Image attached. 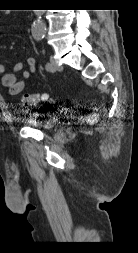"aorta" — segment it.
<instances>
[{"mask_svg": "<svg viewBox=\"0 0 138 253\" xmlns=\"http://www.w3.org/2000/svg\"><path fill=\"white\" fill-rule=\"evenodd\" d=\"M34 11L37 19L33 22L31 31L34 39L39 40L44 37L46 32V26L45 23L41 20L43 11L42 10H34Z\"/></svg>", "mask_w": 138, "mask_h": 253, "instance_id": "762f6f07", "label": "aorta"}]
</instances>
